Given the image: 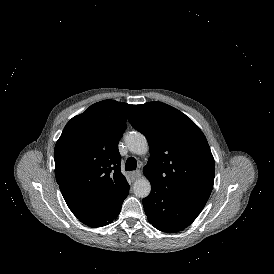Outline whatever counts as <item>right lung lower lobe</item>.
I'll return each instance as SVG.
<instances>
[{
    "instance_id": "1",
    "label": "right lung lower lobe",
    "mask_w": 274,
    "mask_h": 274,
    "mask_svg": "<svg viewBox=\"0 0 274 274\" xmlns=\"http://www.w3.org/2000/svg\"><path fill=\"white\" fill-rule=\"evenodd\" d=\"M128 193H129V188L127 190H125L124 193L121 195V197L118 199V201L116 202L110 215L107 218H105L104 220H102L100 223L91 225V227L105 226L108 223L112 222L114 219H116L117 215L120 213L122 203H123L124 199L127 197Z\"/></svg>"
}]
</instances>
